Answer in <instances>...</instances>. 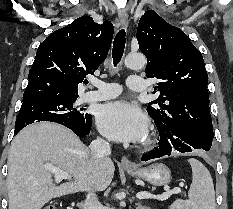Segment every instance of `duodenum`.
Returning <instances> with one entry per match:
<instances>
[{
  "instance_id": "obj_1",
  "label": "duodenum",
  "mask_w": 233,
  "mask_h": 209,
  "mask_svg": "<svg viewBox=\"0 0 233 209\" xmlns=\"http://www.w3.org/2000/svg\"><path fill=\"white\" fill-rule=\"evenodd\" d=\"M77 206H78L80 209H82L83 206H84V204H83L82 202H78V203H77Z\"/></svg>"
}]
</instances>
